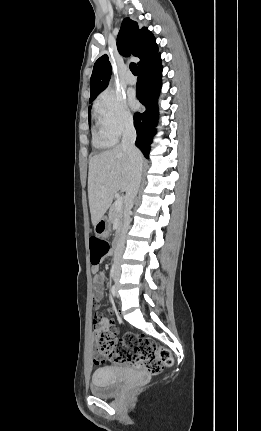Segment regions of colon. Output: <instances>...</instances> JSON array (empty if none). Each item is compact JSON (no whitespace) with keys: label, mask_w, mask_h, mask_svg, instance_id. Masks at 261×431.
<instances>
[{"label":"colon","mask_w":261,"mask_h":431,"mask_svg":"<svg viewBox=\"0 0 261 431\" xmlns=\"http://www.w3.org/2000/svg\"><path fill=\"white\" fill-rule=\"evenodd\" d=\"M109 243L98 237L90 238V260L93 266H98L107 256ZM96 348L103 360H109L117 365H129L148 374L156 375L165 367L172 365L171 352L158 346L148 337L132 332L122 338H116L112 332H102L97 335Z\"/></svg>","instance_id":"5ec220e1"}]
</instances>
